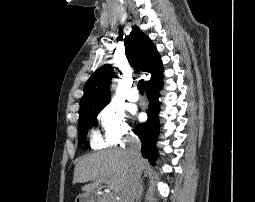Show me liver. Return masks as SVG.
Masks as SVG:
<instances>
[{"instance_id":"6515ba94","label":"liver","mask_w":255,"mask_h":202,"mask_svg":"<svg viewBox=\"0 0 255 202\" xmlns=\"http://www.w3.org/2000/svg\"><path fill=\"white\" fill-rule=\"evenodd\" d=\"M146 161L140 158L141 171ZM132 162L126 150L108 149L82 158L75 166L73 183H92L82 187L92 192L110 179L109 188L120 193L130 179Z\"/></svg>"}]
</instances>
